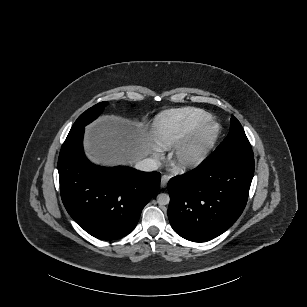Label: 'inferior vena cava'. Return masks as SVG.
<instances>
[{
	"mask_svg": "<svg viewBox=\"0 0 307 307\" xmlns=\"http://www.w3.org/2000/svg\"><path fill=\"white\" fill-rule=\"evenodd\" d=\"M134 168L139 171L150 172L159 168V163L152 158H145L134 165Z\"/></svg>",
	"mask_w": 307,
	"mask_h": 307,
	"instance_id": "obj_1",
	"label": "inferior vena cava"
}]
</instances>
